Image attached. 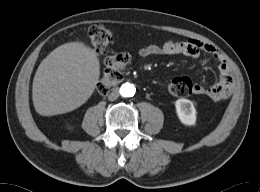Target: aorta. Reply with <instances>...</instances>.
I'll list each match as a JSON object with an SVG mask.
<instances>
[{"instance_id":"1","label":"aorta","mask_w":260,"mask_h":192,"mask_svg":"<svg viewBox=\"0 0 260 192\" xmlns=\"http://www.w3.org/2000/svg\"><path fill=\"white\" fill-rule=\"evenodd\" d=\"M135 91H136L135 86L128 82L122 84V86L120 87V94L123 97H132L134 96Z\"/></svg>"}]
</instances>
